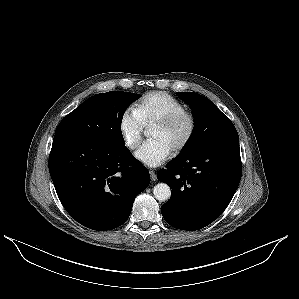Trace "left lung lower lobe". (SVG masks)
Wrapping results in <instances>:
<instances>
[{
  "instance_id": "obj_1",
  "label": "left lung lower lobe",
  "mask_w": 299,
  "mask_h": 299,
  "mask_svg": "<svg viewBox=\"0 0 299 299\" xmlns=\"http://www.w3.org/2000/svg\"><path fill=\"white\" fill-rule=\"evenodd\" d=\"M241 175L237 132L196 154L174 158L157 175L172 188L170 200L161 207L165 221L187 231L209 225L229 205Z\"/></svg>"
}]
</instances>
